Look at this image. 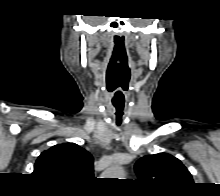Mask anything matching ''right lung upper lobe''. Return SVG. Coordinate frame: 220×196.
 I'll use <instances>...</instances> for the list:
<instances>
[{
  "label": "right lung upper lobe",
  "mask_w": 220,
  "mask_h": 196,
  "mask_svg": "<svg viewBox=\"0 0 220 196\" xmlns=\"http://www.w3.org/2000/svg\"><path fill=\"white\" fill-rule=\"evenodd\" d=\"M33 174L65 185L83 183L93 178V158L75 143L58 144L41 153Z\"/></svg>",
  "instance_id": "right-lung-upper-lobe-1"
}]
</instances>
